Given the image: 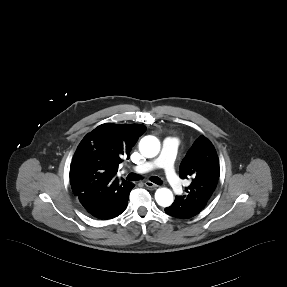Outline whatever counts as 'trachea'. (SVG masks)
Instances as JSON below:
<instances>
[{"label":"trachea","instance_id":"obj_1","mask_svg":"<svg viewBox=\"0 0 287 287\" xmlns=\"http://www.w3.org/2000/svg\"><path fill=\"white\" fill-rule=\"evenodd\" d=\"M140 178L141 177L139 175L135 174V173H130L127 176V180H129V181H137V180H140ZM150 180L153 183L157 184V185H161L162 184V180L159 177H157V176L151 177Z\"/></svg>","mask_w":287,"mask_h":287}]
</instances>
